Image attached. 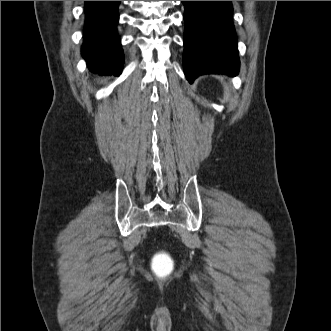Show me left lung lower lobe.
<instances>
[{
	"mask_svg": "<svg viewBox=\"0 0 331 331\" xmlns=\"http://www.w3.org/2000/svg\"><path fill=\"white\" fill-rule=\"evenodd\" d=\"M184 20V73L190 83L199 75H236L240 62L231 1H182Z\"/></svg>",
	"mask_w": 331,
	"mask_h": 331,
	"instance_id": "left-lung-lower-lobe-1",
	"label": "left lung lower lobe"
}]
</instances>
